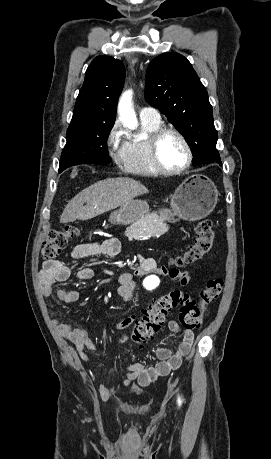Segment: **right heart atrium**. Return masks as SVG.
<instances>
[{
    "label": "right heart atrium",
    "mask_w": 271,
    "mask_h": 459,
    "mask_svg": "<svg viewBox=\"0 0 271 459\" xmlns=\"http://www.w3.org/2000/svg\"><path fill=\"white\" fill-rule=\"evenodd\" d=\"M126 142L122 140L120 123L116 120L107 130L104 138V145L116 164H121Z\"/></svg>",
    "instance_id": "d8ad5b80"
}]
</instances>
